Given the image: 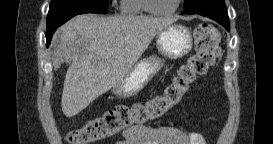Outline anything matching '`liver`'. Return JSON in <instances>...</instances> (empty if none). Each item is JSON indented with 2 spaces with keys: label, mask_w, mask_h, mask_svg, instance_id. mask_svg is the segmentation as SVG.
<instances>
[{
  "label": "liver",
  "mask_w": 273,
  "mask_h": 144,
  "mask_svg": "<svg viewBox=\"0 0 273 144\" xmlns=\"http://www.w3.org/2000/svg\"><path fill=\"white\" fill-rule=\"evenodd\" d=\"M174 18L149 16L99 17L78 15L57 34L54 70L71 62L64 81L61 107L73 117L93 100L118 85L130 72L156 34Z\"/></svg>",
  "instance_id": "1"
}]
</instances>
